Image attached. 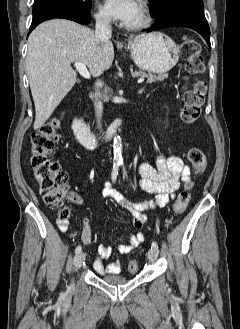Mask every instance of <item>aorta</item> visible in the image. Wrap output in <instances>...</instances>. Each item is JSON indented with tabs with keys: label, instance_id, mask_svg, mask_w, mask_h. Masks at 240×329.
Segmentation results:
<instances>
[{
	"label": "aorta",
	"instance_id": "762f6f07",
	"mask_svg": "<svg viewBox=\"0 0 240 329\" xmlns=\"http://www.w3.org/2000/svg\"><path fill=\"white\" fill-rule=\"evenodd\" d=\"M113 156V162L115 165L123 164L122 145L119 136L115 137L113 141Z\"/></svg>",
	"mask_w": 240,
	"mask_h": 329
}]
</instances>
